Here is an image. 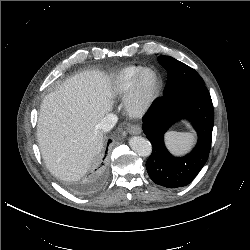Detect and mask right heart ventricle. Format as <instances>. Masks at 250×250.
Returning <instances> with one entry per match:
<instances>
[{
	"instance_id": "1",
	"label": "right heart ventricle",
	"mask_w": 250,
	"mask_h": 250,
	"mask_svg": "<svg viewBox=\"0 0 250 250\" xmlns=\"http://www.w3.org/2000/svg\"><path fill=\"white\" fill-rule=\"evenodd\" d=\"M145 67L130 65L120 69L110 79L108 91L114 97H122L127 94L134 80Z\"/></svg>"
}]
</instances>
